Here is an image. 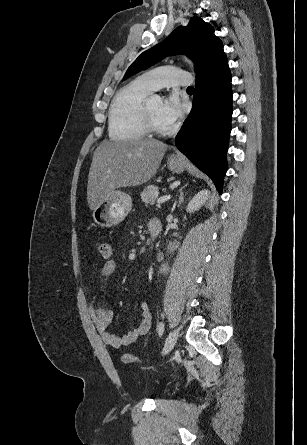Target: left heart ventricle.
Returning a JSON list of instances; mask_svg holds the SVG:
<instances>
[{
  "label": "left heart ventricle",
  "instance_id": "1",
  "mask_svg": "<svg viewBox=\"0 0 307 445\" xmlns=\"http://www.w3.org/2000/svg\"><path fill=\"white\" fill-rule=\"evenodd\" d=\"M163 101L160 95H155L151 101V113L157 126L163 129H168L173 124L168 123L162 114Z\"/></svg>",
  "mask_w": 307,
  "mask_h": 445
}]
</instances>
